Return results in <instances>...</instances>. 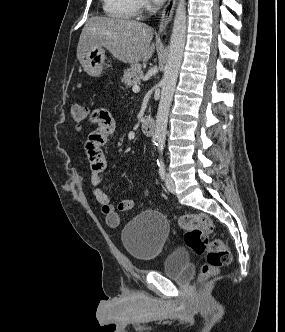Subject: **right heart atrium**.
<instances>
[{
  "mask_svg": "<svg viewBox=\"0 0 285 332\" xmlns=\"http://www.w3.org/2000/svg\"><path fill=\"white\" fill-rule=\"evenodd\" d=\"M142 4L146 5L147 4V0H141Z\"/></svg>",
  "mask_w": 285,
  "mask_h": 332,
  "instance_id": "obj_1",
  "label": "right heart atrium"
}]
</instances>
